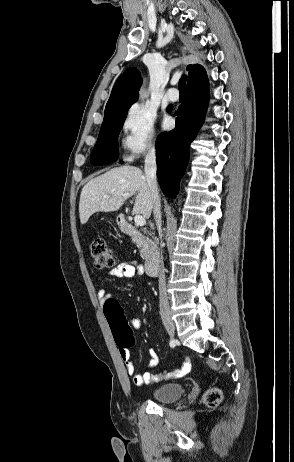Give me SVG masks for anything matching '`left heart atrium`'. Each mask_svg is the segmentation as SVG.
<instances>
[{"label": "left heart atrium", "instance_id": "obj_1", "mask_svg": "<svg viewBox=\"0 0 294 462\" xmlns=\"http://www.w3.org/2000/svg\"><path fill=\"white\" fill-rule=\"evenodd\" d=\"M163 126H164V127H168V126H169V120H168V119H165V120H164Z\"/></svg>", "mask_w": 294, "mask_h": 462}]
</instances>
